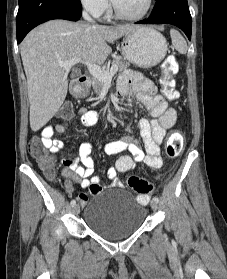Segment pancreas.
Segmentation results:
<instances>
[{"instance_id": "cf45deb5", "label": "pancreas", "mask_w": 227, "mask_h": 279, "mask_svg": "<svg viewBox=\"0 0 227 279\" xmlns=\"http://www.w3.org/2000/svg\"><path fill=\"white\" fill-rule=\"evenodd\" d=\"M116 66L119 71H124L129 67V63L124 62L121 58H115L111 62V67ZM106 70H109V67L106 68ZM105 82L93 77L92 79V87L96 94H100L102 89L104 88Z\"/></svg>"}]
</instances>
